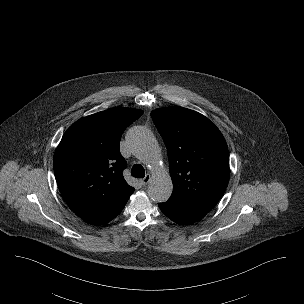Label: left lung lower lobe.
<instances>
[{"label": "left lung lower lobe", "instance_id": "1", "mask_svg": "<svg viewBox=\"0 0 304 304\" xmlns=\"http://www.w3.org/2000/svg\"><path fill=\"white\" fill-rule=\"evenodd\" d=\"M161 211L172 221L179 224H191L203 218L207 212L193 209L177 200L169 199L159 203Z\"/></svg>", "mask_w": 304, "mask_h": 304}]
</instances>
